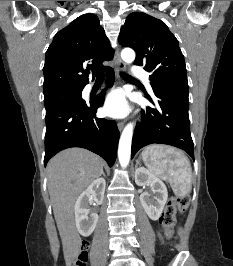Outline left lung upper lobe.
I'll list each match as a JSON object with an SVG mask.
<instances>
[{
	"instance_id": "obj_1",
	"label": "left lung upper lobe",
	"mask_w": 233,
	"mask_h": 266,
	"mask_svg": "<svg viewBox=\"0 0 233 266\" xmlns=\"http://www.w3.org/2000/svg\"><path fill=\"white\" fill-rule=\"evenodd\" d=\"M119 43L136 52L135 65L150 72L151 86L169 80H186L184 56L178 40L164 22L145 13H131L122 26Z\"/></svg>"
}]
</instances>
